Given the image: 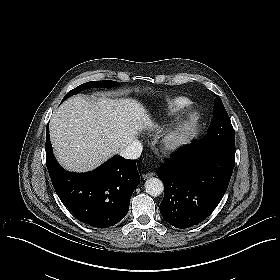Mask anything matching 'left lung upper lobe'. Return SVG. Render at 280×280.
I'll use <instances>...</instances> for the list:
<instances>
[{"label": "left lung upper lobe", "instance_id": "1", "mask_svg": "<svg viewBox=\"0 0 280 280\" xmlns=\"http://www.w3.org/2000/svg\"><path fill=\"white\" fill-rule=\"evenodd\" d=\"M202 146H220L235 150V133L219 96L214 100V110L207 135L201 141H194Z\"/></svg>", "mask_w": 280, "mask_h": 280}]
</instances>
